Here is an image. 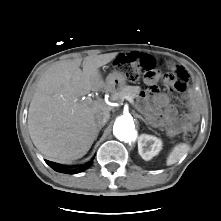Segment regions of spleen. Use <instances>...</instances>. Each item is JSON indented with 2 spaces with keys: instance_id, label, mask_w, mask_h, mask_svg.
Masks as SVG:
<instances>
[{
  "instance_id": "obj_1",
  "label": "spleen",
  "mask_w": 221,
  "mask_h": 221,
  "mask_svg": "<svg viewBox=\"0 0 221 221\" xmlns=\"http://www.w3.org/2000/svg\"><path fill=\"white\" fill-rule=\"evenodd\" d=\"M190 150V145L186 143H179L173 147L171 152L169 153L166 165L171 166L177 163L187 152Z\"/></svg>"
}]
</instances>
